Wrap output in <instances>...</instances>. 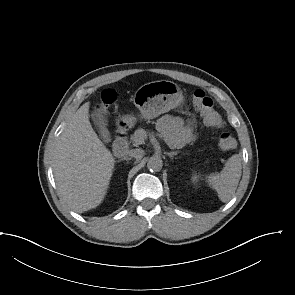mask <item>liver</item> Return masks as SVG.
Returning <instances> with one entry per match:
<instances>
[{
    "instance_id": "6515ba94",
    "label": "liver",
    "mask_w": 295,
    "mask_h": 295,
    "mask_svg": "<svg viewBox=\"0 0 295 295\" xmlns=\"http://www.w3.org/2000/svg\"><path fill=\"white\" fill-rule=\"evenodd\" d=\"M89 102L69 119L53 153V173L63 201L75 212L99 206L107 193L115 159L89 121Z\"/></svg>"
}]
</instances>
